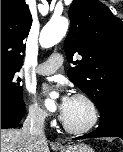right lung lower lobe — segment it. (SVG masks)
Wrapping results in <instances>:
<instances>
[{"label": "right lung lower lobe", "mask_w": 123, "mask_h": 152, "mask_svg": "<svg viewBox=\"0 0 123 152\" xmlns=\"http://www.w3.org/2000/svg\"><path fill=\"white\" fill-rule=\"evenodd\" d=\"M25 115V106L1 104V129L14 128Z\"/></svg>", "instance_id": "right-lung-lower-lobe-1"}]
</instances>
